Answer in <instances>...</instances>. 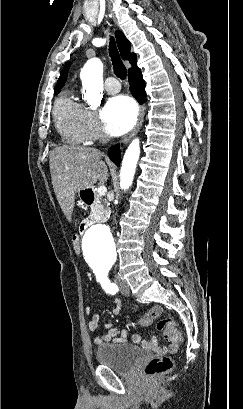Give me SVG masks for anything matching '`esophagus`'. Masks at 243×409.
Listing matches in <instances>:
<instances>
[{
  "instance_id": "esophagus-1",
  "label": "esophagus",
  "mask_w": 243,
  "mask_h": 409,
  "mask_svg": "<svg viewBox=\"0 0 243 409\" xmlns=\"http://www.w3.org/2000/svg\"><path fill=\"white\" fill-rule=\"evenodd\" d=\"M144 115H145V106L141 105L139 109V113H138L137 123L131 132H129L128 134L122 137L121 139L122 143L128 142L134 135H136L139 132L143 124V121H144Z\"/></svg>"
}]
</instances>
